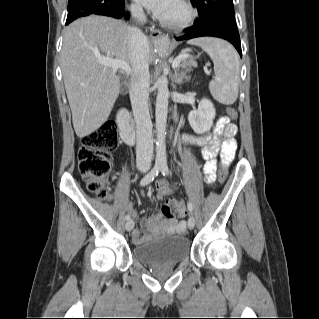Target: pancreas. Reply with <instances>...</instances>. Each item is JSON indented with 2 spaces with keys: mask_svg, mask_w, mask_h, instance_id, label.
I'll return each instance as SVG.
<instances>
[{
  "mask_svg": "<svg viewBox=\"0 0 319 319\" xmlns=\"http://www.w3.org/2000/svg\"><path fill=\"white\" fill-rule=\"evenodd\" d=\"M197 64L195 61H193L192 59H183L181 64L179 65V67L181 69H184V73L186 72H190L191 71V67H195Z\"/></svg>",
  "mask_w": 319,
  "mask_h": 319,
  "instance_id": "cf45deb5",
  "label": "pancreas"
}]
</instances>
